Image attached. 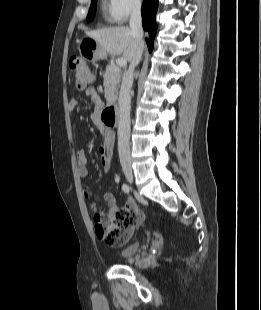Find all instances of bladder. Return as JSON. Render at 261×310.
<instances>
[{
	"label": "bladder",
	"mask_w": 261,
	"mask_h": 310,
	"mask_svg": "<svg viewBox=\"0 0 261 310\" xmlns=\"http://www.w3.org/2000/svg\"><path fill=\"white\" fill-rule=\"evenodd\" d=\"M140 247V242H131L117 252V257L123 260L131 259L139 251Z\"/></svg>",
	"instance_id": "obj_1"
}]
</instances>
